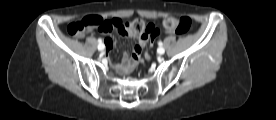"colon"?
<instances>
[{
  "label": "colon",
  "instance_id": "obj_1",
  "mask_svg": "<svg viewBox=\"0 0 276 120\" xmlns=\"http://www.w3.org/2000/svg\"><path fill=\"white\" fill-rule=\"evenodd\" d=\"M192 20L187 16L168 17L163 21L166 31L176 34H187L192 28ZM99 29L103 33L118 31L125 37H137L139 40L154 39L158 30L143 19L137 18L121 22L118 20H104L99 16H87L81 20L73 21L67 26V32L72 37H79L85 31Z\"/></svg>",
  "mask_w": 276,
  "mask_h": 120
}]
</instances>
